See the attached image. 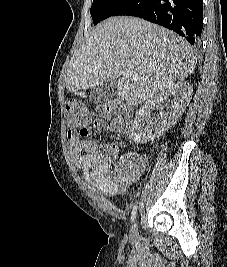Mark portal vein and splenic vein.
Listing matches in <instances>:
<instances>
[{"instance_id": "obj_1", "label": "portal vein and splenic vein", "mask_w": 227, "mask_h": 267, "mask_svg": "<svg viewBox=\"0 0 227 267\" xmlns=\"http://www.w3.org/2000/svg\"><path fill=\"white\" fill-rule=\"evenodd\" d=\"M124 75H125L126 77H130V78H134V79L137 77V75L135 74V72L132 71V70H129V69H126V70L124 71Z\"/></svg>"}]
</instances>
